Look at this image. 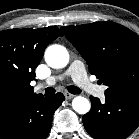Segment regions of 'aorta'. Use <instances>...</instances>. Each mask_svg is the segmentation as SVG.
Wrapping results in <instances>:
<instances>
[{
	"mask_svg": "<svg viewBox=\"0 0 139 139\" xmlns=\"http://www.w3.org/2000/svg\"><path fill=\"white\" fill-rule=\"evenodd\" d=\"M45 61L55 69L64 68L69 62V53L67 49L61 45H51L45 51ZM72 108L79 114H86L90 111L91 103L82 96H76L72 100Z\"/></svg>",
	"mask_w": 139,
	"mask_h": 139,
	"instance_id": "aorta-1",
	"label": "aorta"
}]
</instances>
